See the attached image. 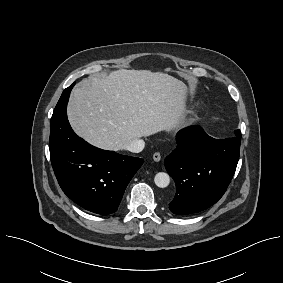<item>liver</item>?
<instances>
[{
    "label": "liver",
    "mask_w": 283,
    "mask_h": 283,
    "mask_svg": "<svg viewBox=\"0 0 283 283\" xmlns=\"http://www.w3.org/2000/svg\"><path fill=\"white\" fill-rule=\"evenodd\" d=\"M185 84L164 73L120 69L81 81L67 114L90 144L119 151L133 140L176 128L186 114Z\"/></svg>",
    "instance_id": "liver-1"
}]
</instances>
